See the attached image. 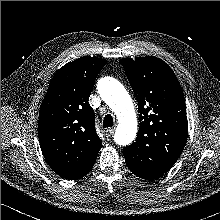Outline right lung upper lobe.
I'll list each match as a JSON object with an SVG mask.
<instances>
[{
    "instance_id": "right-lung-upper-lobe-1",
    "label": "right lung upper lobe",
    "mask_w": 220,
    "mask_h": 220,
    "mask_svg": "<svg viewBox=\"0 0 220 220\" xmlns=\"http://www.w3.org/2000/svg\"><path fill=\"white\" fill-rule=\"evenodd\" d=\"M106 60L81 57L52 78L40 107L39 143L51 169L68 180L85 176L102 147L88 103L94 81Z\"/></svg>"
}]
</instances>
